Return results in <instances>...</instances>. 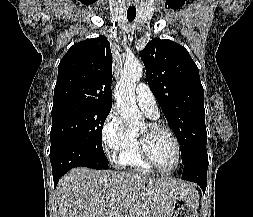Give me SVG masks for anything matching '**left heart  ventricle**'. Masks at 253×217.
I'll list each match as a JSON object with an SVG mask.
<instances>
[{"label": "left heart ventricle", "instance_id": "obj_1", "mask_svg": "<svg viewBox=\"0 0 253 217\" xmlns=\"http://www.w3.org/2000/svg\"><path fill=\"white\" fill-rule=\"evenodd\" d=\"M147 124L141 127L139 132H144ZM150 154L155 163L164 170L171 169L176 160L175 145L167 131L159 130L152 133L148 139Z\"/></svg>", "mask_w": 253, "mask_h": 217}]
</instances>
